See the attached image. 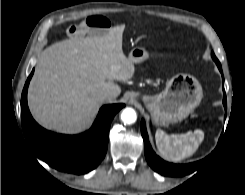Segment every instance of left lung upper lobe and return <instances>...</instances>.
I'll return each mask as SVG.
<instances>
[{
	"label": "left lung upper lobe",
	"instance_id": "left-lung-upper-lobe-1",
	"mask_svg": "<svg viewBox=\"0 0 245 195\" xmlns=\"http://www.w3.org/2000/svg\"><path fill=\"white\" fill-rule=\"evenodd\" d=\"M212 58H213V60L216 62V64L219 63V61H218V59L216 58V56L214 55V53H212Z\"/></svg>",
	"mask_w": 245,
	"mask_h": 195
}]
</instances>
